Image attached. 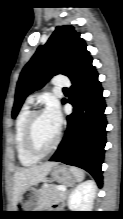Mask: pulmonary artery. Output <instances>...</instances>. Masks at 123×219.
Wrapping results in <instances>:
<instances>
[{"mask_svg": "<svg viewBox=\"0 0 123 219\" xmlns=\"http://www.w3.org/2000/svg\"><path fill=\"white\" fill-rule=\"evenodd\" d=\"M53 84L54 86L58 88H66V87H69L71 83H70V80L65 76H56L53 79ZM33 100H34V97L29 96L27 99V103L30 104L33 102Z\"/></svg>", "mask_w": 123, "mask_h": 219, "instance_id": "pulmonary-artery-1", "label": "pulmonary artery"}]
</instances>
